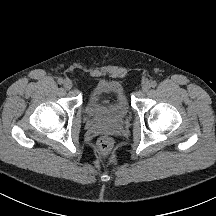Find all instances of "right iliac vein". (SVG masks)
I'll return each instance as SVG.
<instances>
[{
	"instance_id": "obj_1",
	"label": "right iliac vein",
	"mask_w": 216,
	"mask_h": 216,
	"mask_svg": "<svg viewBox=\"0 0 216 216\" xmlns=\"http://www.w3.org/2000/svg\"><path fill=\"white\" fill-rule=\"evenodd\" d=\"M63 85L66 89H71L72 88V81L69 80V79H66L64 82H63Z\"/></svg>"
}]
</instances>
